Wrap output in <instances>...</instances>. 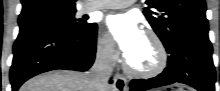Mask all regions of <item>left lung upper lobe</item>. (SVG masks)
Here are the masks:
<instances>
[{"instance_id": "5c2ea615", "label": "left lung upper lobe", "mask_w": 220, "mask_h": 91, "mask_svg": "<svg viewBox=\"0 0 220 91\" xmlns=\"http://www.w3.org/2000/svg\"><path fill=\"white\" fill-rule=\"evenodd\" d=\"M145 3L149 7L144 15L166 50L184 39H208L204 0H146Z\"/></svg>"}]
</instances>
